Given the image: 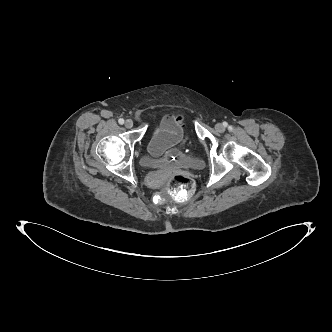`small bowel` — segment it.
I'll use <instances>...</instances> for the list:
<instances>
[{"label": "small bowel", "mask_w": 332, "mask_h": 332, "mask_svg": "<svg viewBox=\"0 0 332 332\" xmlns=\"http://www.w3.org/2000/svg\"><path fill=\"white\" fill-rule=\"evenodd\" d=\"M169 119H172V115L165 116L153 132L154 151L162 154L171 152L173 147L183 149L190 140L188 133L181 130L178 123L168 122ZM177 119H181V117H177Z\"/></svg>", "instance_id": "obj_1"}]
</instances>
